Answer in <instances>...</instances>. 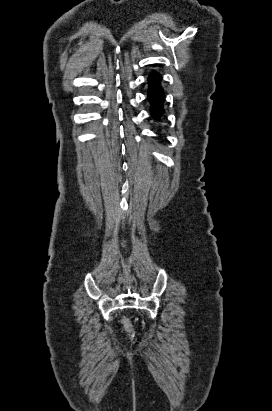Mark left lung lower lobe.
<instances>
[{"label":"left lung lower lobe","instance_id":"obj_1","mask_svg":"<svg viewBox=\"0 0 272 411\" xmlns=\"http://www.w3.org/2000/svg\"><path fill=\"white\" fill-rule=\"evenodd\" d=\"M148 81L150 84L148 90V98L152 105L151 113L155 119L159 120L164 112V92L160 87L161 76L157 72H152L149 76Z\"/></svg>","mask_w":272,"mask_h":411}]
</instances>
